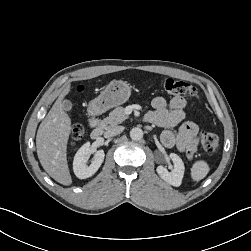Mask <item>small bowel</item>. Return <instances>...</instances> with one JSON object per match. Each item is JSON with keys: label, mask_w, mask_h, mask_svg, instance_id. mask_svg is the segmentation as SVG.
<instances>
[{"label": "small bowel", "mask_w": 251, "mask_h": 251, "mask_svg": "<svg viewBox=\"0 0 251 251\" xmlns=\"http://www.w3.org/2000/svg\"><path fill=\"white\" fill-rule=\"evenodd\" d=\"M186 100L176 96L170 100L155 97L152 100L153 111L145 116V120L159 127L167 128L161 134V143L166 148L176 147L180 152L192 158L198 142V125L193 121H185ZM179 126L178 131L172 128Z\"/></svg>", "instance_id": "obj_1"}]
</instances>
